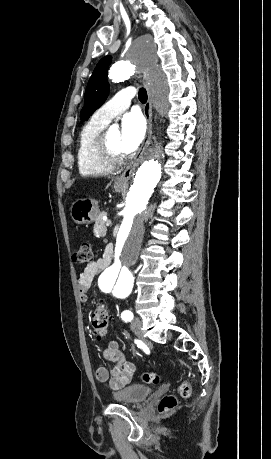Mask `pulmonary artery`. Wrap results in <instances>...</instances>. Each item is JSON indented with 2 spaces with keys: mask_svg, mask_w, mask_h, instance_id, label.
Here are the masks:
<instances>
[{
  "mask_svg": "<svg viewBox=\"0 0 271 459\" xmlns=\"http://www.w3.org/2000/svg\"><path fill=\"white\" fill-rule=\"evenodd\" d=\"M133 95L132 89H119L118 94L113 95V98L98 109L93 117L101 123L108 124L114 116L133 106Z\"/></svg>",
  "mask_w": 271,
  "mask_h": 459,
  "instance_id": "pulmonary-artery-1",
  "label": "pulmonary artery"
}]
</instances>
